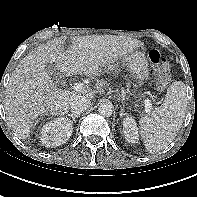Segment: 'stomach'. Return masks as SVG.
I'll return each mask as SVG.
<instances>
[{
    "mask_svg": "<svg viewBox=\"0 0 197 197\" xmlns=\"http://www.w3.org/2000/svg\"><path fill=\"white\" fill-rule=\"evenodd\" d=\"M126 68L139 82L144 83L149 77V64L141 51H135L119 59L115 64L106 66L108 71L116 70L119 66Z\"/></svg>",
    "mask_w": 197,
    "mask_h": 197,
    "instance_id": "stomach-1",
    "label": "stomach"
}]
</instances>
